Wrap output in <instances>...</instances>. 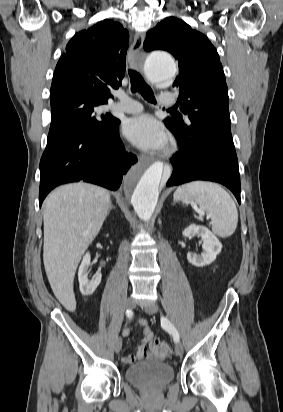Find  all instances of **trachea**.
I'll list each match as a JSON object with an SVG mask.
<instances>
[{
	"label": "trachea",
	"instance_id": "trachea-1",
	"mask_svg": "<svg viewBox=\"0 0 283 412\" xmlns=\"http://www.w3.org/2000/svg\"><path fill=\"white\" fill-rule=\"evenodd\" d=\"M131 81V91L132 93L139 92L142 97L150 103H155V97L152 89L145 83L143 77L134 70L128 71ZM174 112V108L169 109Z\"/></svg>",
	"mask_w": 283,
	"mask_h": 412
}]
</instances>
